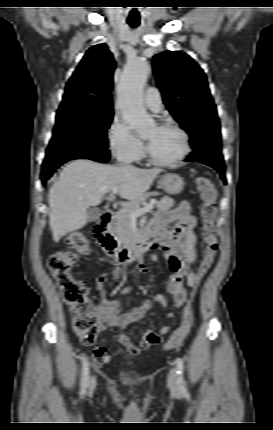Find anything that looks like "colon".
<instances>
[{
  "label": "colon",
  "instance_id": "colon-1",
  "mask_svg": "<svg viewBox=\"0 0 273 430\" xmlns=\"http://www.w3.org/2000/svg\"><path fill=\"white\" fill-rule=\"evenodd\" d=\"M196 187L202 199L200 217L203 223L202 235L206 249L202 261L197 269V283L210 270L218 250L215 219L217 215V193L214 185L206 177H198ZM66 250H58L50 255L47 261L56 284L61 291L64 302L72 312V326L80 341L91 345L98 331V312L89 299V291L85 283L74 277L72 266L78 255L89 250L87 239L79 234L72 233L65 239ZM196 287L191 293V299L183 311L182 326L176 329L163 346L164 350H172L181 345L194 323L192 301Z\"/></svg>",
  "mask_w": 273,
  "mask_h": 430
}]
</instances>
